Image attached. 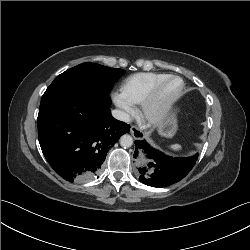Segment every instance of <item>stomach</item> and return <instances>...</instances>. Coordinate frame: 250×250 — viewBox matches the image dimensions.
Segmentation results:
<instances>
[{"label": "stomach", "instance_id": "1", "mask_svg": "<svg viewBox=\"0 0 250 250\" xmlns=\"http://www.w3.org/2000/svg\"><path fill=\"white\" fill-rule=\"evenodd\" d=\"M177 130V118L175 113H171L158 126L159 134L170 138Z\"/></svg>", "mask_w": 250, "mask_h": 250}]
</instances>
